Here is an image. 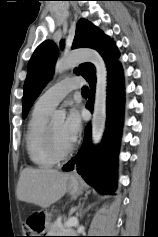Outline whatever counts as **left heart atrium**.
<instances>
[{
	"instance_id": "39dd6f15",
	"label": "left heart atrium",
	"mask_w": 158,
	"mask_h": 237,
	"mask_svg": "<svg viewBox=\"0 0 158 237\" xmlns=\"http://www.w3.org/2000/svg\"><path fill=\"white\" fill-rule=\"evenodd\" d=\"M81 127L80 115L75 108H72L62 125V134L71 145L78 139Z\"/></svg>"
}]
</instances>
